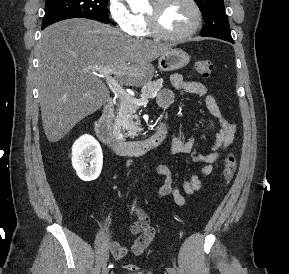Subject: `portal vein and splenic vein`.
I'll return each instance as SVG.
<instances>
[{
  "mask_svg": "<svg viewBox=\"0 0 289 274\" xmlns=\"http://www.w3.org/2000/svg\"><path fill=\"white\" fill-rule=\"evenodd\" d=\"M94 70L99 73V75L106 78V82L113 93L121 99H127L133 101L136 105H146L148 104V99H134L132 98L118 83V81L112 77L115 69L112 66L95 67Z\"/></svg>",
  "mask_w": 289,
  "mask_h": 274,
  "instance_id": "1",
  "label": "portal vein and splenic vein"
}]
</instances>
